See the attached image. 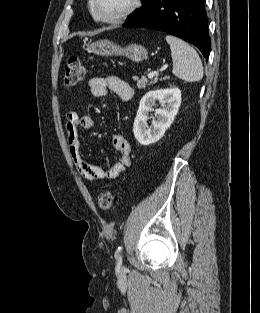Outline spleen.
I'll return each instance as SVG.
<instances>
[{
    "label": "spleen",
    "instance_id": "1",
    "mask_svg": "<svg viewBox=\"0 0 260 313\" xmlns=\"http://www.w3.org/2000/svg\"><path fill=\"white\" fill-rule=\"evenodd\" d=\"M173 61V74L186 82H197L203 78V66L198 53L185 41L167 35Z\"/></svg>",
    "mask_w": 260,
    "mask_h": 313
}]
</instances>
